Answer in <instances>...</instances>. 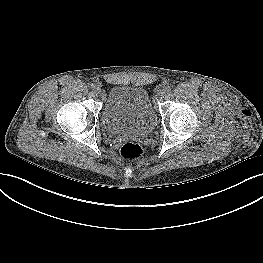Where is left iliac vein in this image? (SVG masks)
<instances>
[{"mask_svg":"<svg viewBox=\"0 0 263 263\" xmlns=\"http://www.w3.org/2000/svg\"><path fill=\"white\" fill-rule=\"evenodd\" d=\"M159 97L162 98L164 97L165 95V90H161L159 93H158Z\"/></svg>","mask_w":263,"mask_h":263,"instance_id":"left-iliac-vein-1","label":"left iliac vein"}]
</instances>
